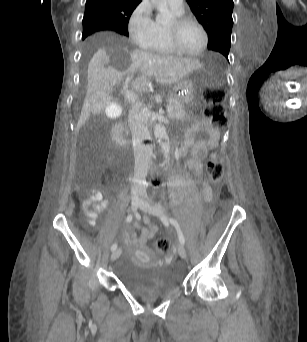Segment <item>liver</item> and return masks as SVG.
Segmentation results:
<instances>
[{"mask_svg":"<svg viewBox=\"0 0 307 342\" xmlns=\"http://www.w3.org/2000/svg\"><path fill=\"white\" fill-rule=\"evenodd\" d=\"M135 44H98L88 64L87 92L83 102L77 132L91 114H101L106 108L113 86L128 74H141L133 82L137 92H146L149 78L161 86L178 84L181 78L201 68L199 60L173 58L167 54H151L135 50Z\"/></svg>","mask_w":307,"mask_h":342,"instance_id":"liver-1","label":"liver"}]
</instances>
